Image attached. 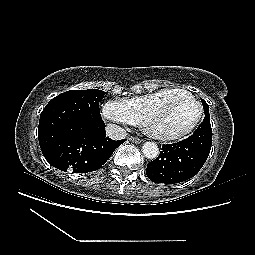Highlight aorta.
<instances>
[{"mask_svg": "<svg viewBox=\"0 0 255 255\" xmlns=\"http://www.w3.org/2000/svg\"><path fill=\"white\" fill-rule=\"evenodd\" d=\"M142 152L148 159H154L159 154V148L154 142H145L142 146Z\"/></svg>", "mask_w": 255, "mask_h": 255, "instance_id": "aorta-1", "label": "aorta"}]
</instances>
